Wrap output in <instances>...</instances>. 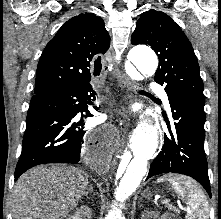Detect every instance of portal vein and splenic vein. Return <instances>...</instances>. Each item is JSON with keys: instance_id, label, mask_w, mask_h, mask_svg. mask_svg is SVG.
Masks as SVG:
<instances>
[{"instance_id": "portal-vein-and-splenic-vein-1", "label": "portal vein and splenic vein", "mask_w": 221, "mask_h": 219, "mask_svg": "<svg viewBox=\"0 0 221 219\" xmlns=\"http://www.w3.org/2000/svg\"><path fill=\"white\" fill-rule=\"evenodd\" d=\"M163 203L169 205V204H170V201H169V200H165V201H163ZM178 206H179V208H181L182 210L187 211V209L184 208L183 206H181L179 203H178Z\"/></svg>"}]
</instances>
